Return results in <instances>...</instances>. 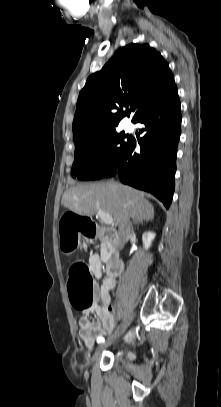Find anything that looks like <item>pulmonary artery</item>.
<instances>
[{
	"mask_svg": "<svg viewBox=\"0 0 221 407\" xmlns=\"http://www.w3.org/2000/svg\"><path fill=\"white\" fill-rule=\"evenodd\" d=\"M133 124L131 123V122H126L125 123V125H124V129L126 130V131H128V132H130V131H132L133 130Z\"/></svg>",
	"mask_w": 221,
	"mask_h": 407,
	"instance_id": "e3ab8cb5",
	"label": "pulmonary artery"
}]
</instances>
